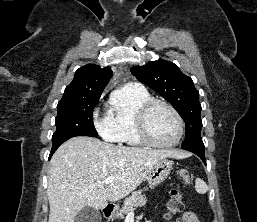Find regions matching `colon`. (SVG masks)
Wrapping results in <instances>:
<instances>
[{
  "instance_id": "colon-1",
  "label": "colon",
  "mask_w": 257,
  "mask_h": 222,
  "mask_svg": "<svg viewBox=\"0 0 257 222\" xmlns=\"http://www.w3.org/2000/svg\"><path fill=\"white\" fill-rule=\"evenodd\" d=\"M177 174L184 184H188L190 182V176L187 170L179 169ZM182 208V194L178 189H173L171 191L170 199L167 202L168 214H175L181 211Z\"/></svg>"
}]
</instances>
